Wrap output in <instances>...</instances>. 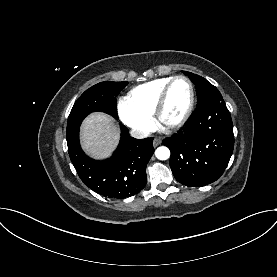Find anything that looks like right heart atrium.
Masks as SVG:
<instances>
[{"label": "right heart atrium", "mask_w": 277, "mask_h": 277, "mask_svg": "<svg viewBox=\"0 0 277 277\" xmlns=\"http://www.w3.org/2000/svg\"><path fill=\"white\" fill-rule=\"evenodd\" d=\"M118 113L121 121L139 136L145 135L152 127L151 117L133 108L126 99L119 102Z\"/></svg>", "instance_id": "1"}]
</instances>
